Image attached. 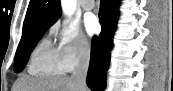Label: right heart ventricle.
<instances>
[{
  "instance_id": "right-heart-ventricle-1",
  "label": "right heart ventricle",
  "mask_w": 173,
  "mask_h": 91,
  "mask_svg": "<svg viewBox=\"0 0 173 91\" xmlns=\"http://www.w3.org/2000/svg\"><path fill=\"white\" fill-rule=\"evenodd\" d=\"M65 69L57 50L44 40L33 51L29 62V73L36 76H61Z\"/></svg>"
}]
</instances>
